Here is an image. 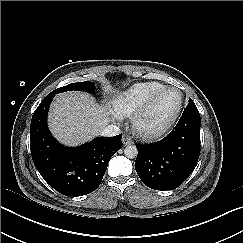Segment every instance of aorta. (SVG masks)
I'll return each instance as SVG.
<instances>
[{"label":"aorta","mask_w":243,"mask_h":243,"mask_svg":"<svg viewBox=\"0 0 243 243\" xmlns=\"http://www.w3.org/2000/svg\"><path fill=\"white\" fill-rule=\"evenodd\" d=\"M138 150L134 145H128L124 149V155L129 159H134L137 157Z\"/></svg>","instance_id":"762f6f07"}]
</instances>
